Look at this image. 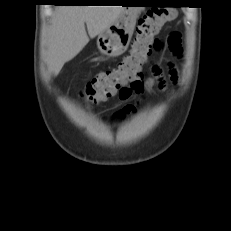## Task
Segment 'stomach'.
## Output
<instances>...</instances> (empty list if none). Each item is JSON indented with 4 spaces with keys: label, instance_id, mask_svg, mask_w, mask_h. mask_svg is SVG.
<instances>
[{
    "label": "stomach",
    "instance_id": "1",
    "mask_svg": "<svg viewBox=\"0 0 231 231\" xmlns=\"http://www.w3.org/2000/svg\"><path fill=\"white\" fill-rule=\"evenodd\" d=\"M143 7H129L118 19L97 38L99 51L106 56L116 57L123 54L131 41L136 19Z\"/></svg>",
    "mask_w": 231,
    "mask_h": 231
}]
</instances>
